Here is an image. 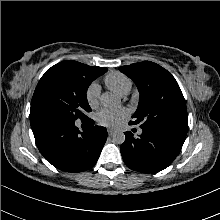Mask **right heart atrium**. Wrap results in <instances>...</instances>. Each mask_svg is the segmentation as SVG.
Masks as SVG:
<instances>
[{
    "label": "right heart atrium",
    "instance_id": "1",
    "mask_svg": "<svg viewBox=\"0 0 220 220\" xmlns=\"http://www.w3.org/2000/svg\"><path fill=\"white\" fill-rule=\"evenodd\" d=\"M86 101L91 108H96L99 104L100 86L97 83H91L86 90Z\"/></svg>",
    "mask_w": 220,
    "mask_h": 220
}]
</instances>
